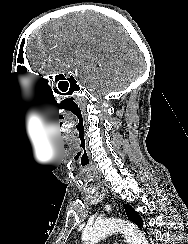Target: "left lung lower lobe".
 I'll return each mask as SVG.
<instances>
[{"label":"left lung lower lobe","instance_id":"0a47b994","mask_svg":"<svg viewBox=\"0 0 188 244\" xmlns=\"http://www.w3.org/2000/svg\"><path fill=\"white\" fill-rule=\"evenodd\" d=\"M139 227H143V221H142V219L138 222V224H137Z\"/></svg>","mask_w":188,"mask_h":244}]
</instances>
